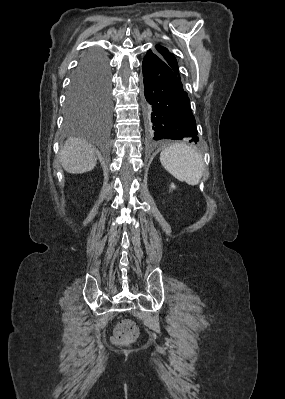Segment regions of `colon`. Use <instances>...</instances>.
Here are the masks:
<instances>
[{"label":"colon","mask_w":285,"mask_h":399,"mask_svg":"<svg viewBox=\"0 0 285 399\" xmlns=\"http://www.w3.org/2000/svg\"><path fill=\"white\" fill-rule=\"evenodd\" d=\"M138 336V329L133 323L120 324L114 334V340L119 343L133 341Z\"/></svg>","instance_id":"colon-1"}]
</instances>
